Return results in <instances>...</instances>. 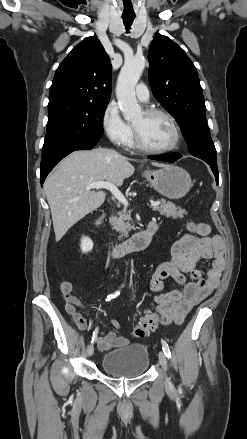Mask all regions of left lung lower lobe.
I'll return each mask as SVG.
<instances>
[{
  "mask_svg": "<svg viewBox=\"0 0 247 439\" xmlns=\"http://www.w3.org/2000/svg\"><path fill=\"white\" fill-rule=\"evenodd\" d=\"M180 157L181 155L178 153H166L162 155L149 156L148 158L153 160H159V161L174 162L178 160ZM212 171L215 175V179L218 184V170L212 169Z\"/></svg>",
  "mask_w": 247,
  "mask_h": 439,
  "instance_id": "obj_1",
  "label": "left lung lower lobe"
}]
</instances>
